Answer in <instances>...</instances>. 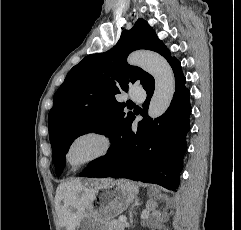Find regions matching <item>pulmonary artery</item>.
<instances>
[{
	"label": "pulmonary artery",
	"instance_id": "obj_1",
	"mask_svg": "<svg viewBox=\"0 0 241 230\" xmlns=\"http://www.w3.org/2000/svg\"><path fill=\"white\" fill-rule=\"evenodd\" d=\"M145 97V92L141 87H134L129 92V98L133 101H142Z\"/></svg>",
	"mask_w": 241,
	"mask_h": 230
}]
</instances>
